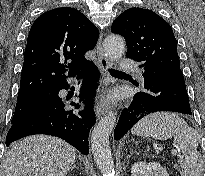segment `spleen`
Here are the masks:
<instances>
[{
    "mask_svg": "<svg viewBox=\"0 0 205 176\" xmlns=\"http://www.w3.org/2000/svg\"><path fill=\"white\" fill-rule=\"evenodd\" d=\"M132 134L158 140L174 138V144L182 151L185 159L180 162L181 176H202L203 160L197 151L199 136L184 119L174 113H153L141 119ZM205 176V175H204Z\"/></svg>",
    "mask_w": 205,
    "mask_h": 176,
    "instance_id": "spleen-1",
    "label": "spleen"
}]
</instances>
